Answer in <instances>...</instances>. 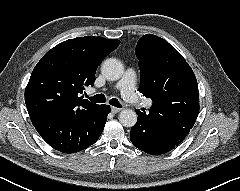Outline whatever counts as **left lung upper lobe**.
<instances>
[{
    "label": "left lung upper lobe",
    "mask_w": 240,
    "mask_h": 191,
    "mask_svg": "<svg viewBox=\"0 0 240 191\" xmlns=\"http://www.w3.org/2000/svg\"><path fill=\"white\" fill-rule=\"evenodd\" d=\"M142 84L140 92L153 100L149 112L156 119L197 118L199 91L196 77L183 56L167 41L142 36L136 46Z\"/></svg>",
    "instance_id": "left-lung-upper-lobe-1"
}]
</instances>
